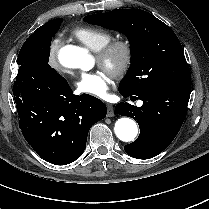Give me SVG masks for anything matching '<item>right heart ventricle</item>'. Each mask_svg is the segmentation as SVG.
<instances>
[{
    "label": "right heart ventricle",
    "mask_w": 209,
    "mask_h": 209,
    "mask_svg": "<svg viewBox=\"0 0 209 209\" xmlns=\"http://www.w3.org/2000/svg\"><path fill=\"white\" fill-rule=\"evenodd\" d=\"M73 36L93 51L100 50L112 38L109 31L93 26L79 27L73 32Z\"/></svg>",
    "instance_id": "obj_1"
}]
</instances>
